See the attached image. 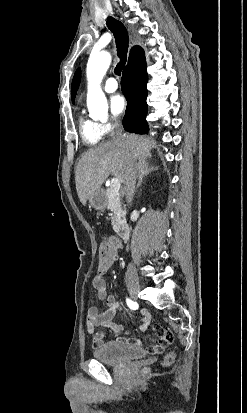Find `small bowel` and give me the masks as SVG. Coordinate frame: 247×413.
<instances>
[{"instance_id":"1","label":"small bowel","mask_w":247,"mask_h":413,"mask_svg":"<svg viewBox=\"0 0 247 413\" xmlns=\"http://www.w3.org/2000/svg\"><path fill=\"white\" fill-rule=\"evenodd\" d=\"M99 269V267H98ZM101 275H95L92 280V286L97 292L99 300L104 301L106 309L100 312L96 306H90L87 310L86 327L87 331L91 335V345L93 348L103 347L104 349H112L114 346L116 349H138L140 342L136 334H129L125 332L121 325L115 324L113 318L117 312L123 311V305L115 299V297L107 292V285L105 280V272L101 271ZM152 320V314L147 309L140 311V329L144 330L150 324ZM105 328L112 331L115 336L114 342L112 340H104V334L97 332V328ZM150 329L155 331V337L153 342L150 343L148 353L155 355L157 353L164 354L165 349L170 347V343L173 342L176 332L174 329H161L159 322H152ZM127 335L125 338L124 336Z\"/></svg>"}]
</instances>
